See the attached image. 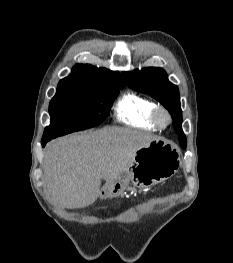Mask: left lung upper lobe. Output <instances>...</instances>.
<instances>
[{
  "label": "left lung upper lobe",
  "mask_w": 233,
  "mask_h": 263,
  "mask_svg": "<svg viewBox=\"0 0 233 263\" xmlns=\"http://www.w3.org/2000/svg\"><path fill=\"white\" fill-rule=\"evenodd\" d=\"M126 84L139 92L149 94L158 100L171 114L174 129L180 138H186L182 130V110L178 87L168 81L166 72L161 68L147 67L142 70L123 72Z\"/></svg>",
  "instance_id": "1"
}]
</instances>
